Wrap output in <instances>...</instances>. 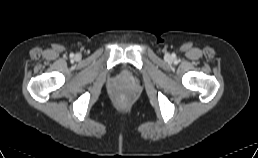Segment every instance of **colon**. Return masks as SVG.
I'll return each mask as SVG.
<instances>
[{
	"label": "colon",
	"instance_id": "1",
	"mask_svg": "<svg viewBox=\"0 0 258 158\" xmlns=\"http://www.w3.org/2000/svg\"><path fill=\"white\" fill-rule=\"evenodd\" d=\"M121 96H122V98H124L126 100L130 98V96L128 94H122Z\"/></svg>",
	"mask_w": 258,
	"mask_h": 158
}]
</instances>
